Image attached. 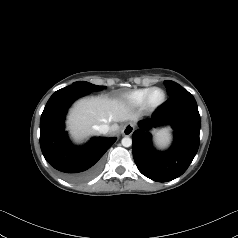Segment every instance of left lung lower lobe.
<instances>
[{"label":"left lung lower lobe","instance_id":"1","mask_svg":"<svg viewBox=\"0 0 238 238\" xmlns=\"http://www.w3.org/2000/svg\"><path fill=\"white\" fill-rule=\"evenodd\" d=\"M200 115L191 93L182 89L152 114L139 122L133 135V157L139 171L157 182L171 181L182 175L199 147ZM170 124L174 142L164 152L154 149L149 130Z\"/></svg>","mask_w":238,"mask_h":238}]
</instances>
